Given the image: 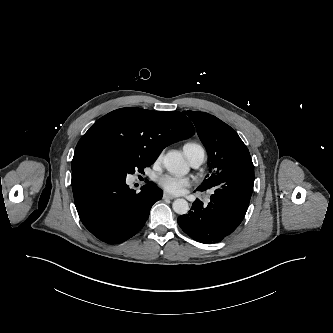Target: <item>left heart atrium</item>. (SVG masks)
<instances>
[{
  "mask_svg": "<svg viewBox=\"0 0 333 333\" xmlns=\"http://www.w3.org/2000/svg\"><path fill=\"white\" fill-rule=\"evenodd\" d=\"M158 184L168 193L182 194L190 185V180L185 177H178L172 174H166L158 178Z\"/></svg>",
  "mask_w": 333,
  "mask_h": 333,
  "instance_id": "left-heart-atrium-1",
  "label": "left heart atrium"
}]
</instances>
